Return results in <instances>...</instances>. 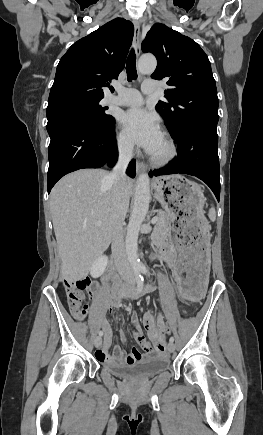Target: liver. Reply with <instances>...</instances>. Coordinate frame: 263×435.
<instances>
[{"label": "liver", "instance_id": "1", "mask_svg": "<svg viewBox=\"0 0 263 435\" xmlns=\"http://www.w3.org/2000/svg\"><path fill=\"white\" fill-rule=\"evenodd\" d=\"M107 176L105 170H79L62 178L51 191L61 274L68 282L85 278L94 260L110 245L113 198ZM126 186L130 196L133 181L127 178Z\"/></svg>", "mask_w": 263, "mask_h": 435}]
</instances>
